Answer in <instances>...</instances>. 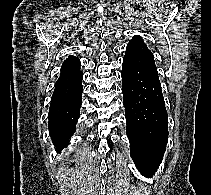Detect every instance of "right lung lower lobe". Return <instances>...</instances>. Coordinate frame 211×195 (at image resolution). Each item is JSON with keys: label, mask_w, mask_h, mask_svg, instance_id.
<instances>
[{"label": "right lung lower lobe", "mask_w": 211, "mask_h": 195, "mask_svg": "<svg viewBox=\"0 0 211 195\" xmlns=\"http://www.w3.org/2000/svg\"><path fill=\"white\" fill-rule=\"evenodd\" d=\"M82 78L80 66L61 72L49 108V134L53 144L62 150L76 130L82 103Z\"/></svg>", "instance_id": "1"}]
</instances>
